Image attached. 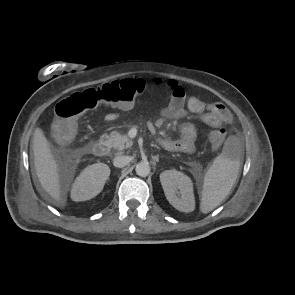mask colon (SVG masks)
<instances>
[{"label": "colon", "instance_id": "5ec220e1", "mask_svg": "<svg viewBox=\"0 0 295 295\" xmlns=\"http://www.w3.org/2000/svg\"><path fill=\"white\" fill-rule=\"evenodd\" d=\"M146 89L147 85L141 79H122L71 94L56 106V119L52 128L54 138L59 143H68L76 132L78 118L85 112L102 105L130 108ZM208 138L215 148H220L226 138V131L212 130Z\"/></svg>", "mask_w": 295, "mask_h": 295}]
</instances>
